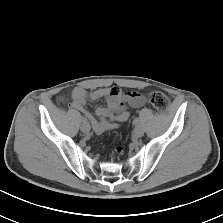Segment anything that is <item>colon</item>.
Returning <instances> with one entry per match:
<instances>
[{"instance_id":"1","label":"colon","mask_w":223,"mask_h":223,"mask_svg":"<svg viewBox=\"0 0 223 223\" xmlns=\"http://www.w3.org/2000/svg\"><path fill=\"white\" fill-rule=\"evenodd\" d=\"M60 103L65 102V98L61 97L59 99ZM149 102L152 105V107L159 111V112H165L169 107V100L168 98L161 92H151L149 94ZM115 151L119 154H122L124 149L122 147H117Z\"/></svg>"}]
</instances>
